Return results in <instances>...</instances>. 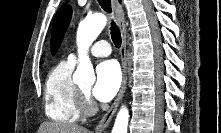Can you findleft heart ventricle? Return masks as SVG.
<instances>
[{
  "mask_svg": "<svg viewBox=\"0 0 221 133\" xmlns=\"http://www.w3.org/2000/svg\"><path fill=\"white\" fill-rule=\"evenodd\" d=\"M85 92H88L89 91V86H82L81 87Z\"/></svg>",
  "mask_w": 221,
  "mask_h": 133,
  "instance_id": "left-heart-ventricle-1",
  "label": "left heart ventricle"
}]
</instances>
